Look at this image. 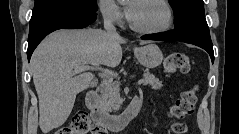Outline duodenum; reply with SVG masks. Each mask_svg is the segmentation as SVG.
Instances as JSON below:
<instances>
[{
    "label": "duodenum",
    "instance_id": "1",
    "mask_svg": "<svg viewBox=\"0 0 239 134\" xmlns=\"http://www.w3.org/2000/svg\"><path fill=\"white\" fill-rule=\"evenodd\" d=\"M143 101L140 96H134L123 112L109 115L101 106L97 92L90 91L86 95V105L92 120L111 132H118L125 128L139 114Z\"/></svg>",
    "mask_w": 239,
    "mask_h": 134
}]
</instances>
